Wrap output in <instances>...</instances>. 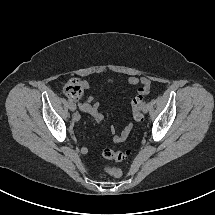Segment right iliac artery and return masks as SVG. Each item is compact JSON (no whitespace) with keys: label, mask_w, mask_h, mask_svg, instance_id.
<instances>
[{"label":"right iliac artery","mask_w":215,"mask_h":215,"mask_svg":"<svg viewBox=\"0 0 215 215\" xmlns=\"http://www.w3.org/2000/svg\"><path fill=\"white\" fill-rule=\"evenodd\" d=\"M68 102H69V103H71V102H72V100H71V99H68Z\"/></svg>","instance_id":"obj_1"}]
</instances>
